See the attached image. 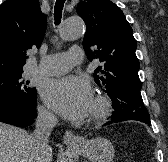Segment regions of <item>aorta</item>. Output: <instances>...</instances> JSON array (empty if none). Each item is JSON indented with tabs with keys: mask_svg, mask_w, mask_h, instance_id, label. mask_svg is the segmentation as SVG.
<instances>
[{
	"mask_svg": "<svg viewBox=\"0 0 168 162\" xmlns=\"http://www.w3.org/2000/svg\"><path fill=\"white\" fill-rule=\"evenodd\" d=\"M84 31V23L80 18H68L62 24L60 37L66 41L75 40L82 37ZM69 162H73V160L69 159Z\"/></svg>",
	"mask_w": 168,
	"mask_h": 162,
	"instance_id": "aorta-1",
	"label": "aorta"
}]
</instances>
